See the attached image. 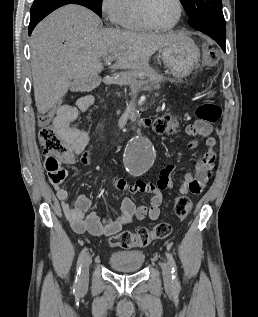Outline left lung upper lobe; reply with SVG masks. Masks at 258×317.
<instances>
[{"mask_svg":"<svg viewBox=\"0 0 258 317\" xmlns=\"http://www.w3.org/2000/svg\"><path fill=\"white\" fill-rule=\"evenodd\" d=\"M180 1L189 16V24L193 28H226L221 0Z\"/></svg>","mask_w":258,"mask_h":317,"instance_id":"left-lung-upper-lobe-1","label":"left lung upper lobe"}]
</instances>
